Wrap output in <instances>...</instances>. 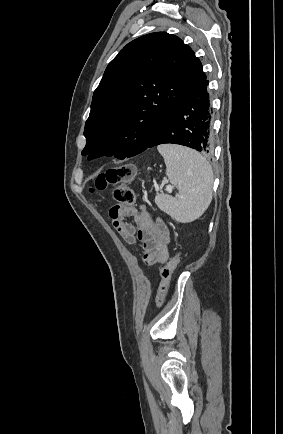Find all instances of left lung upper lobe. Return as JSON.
Masks as SVG:
<instances>
[{"instance_id":"1","label":"left lung upper lobe","mask_w":283,"mask_h":434,"mask_svg":"<svg viewBox=\"0 0 283 434\" xmlns=\"http://www.w3.org/2000/svg\"><path fill=\"white\" fill-rule=\"evenodd\" d=\"M205 78L194 51L175 35L150 33L128 43L94 91L82 155L141 153L180 98Z\"/></svg>"}]
</instances>
